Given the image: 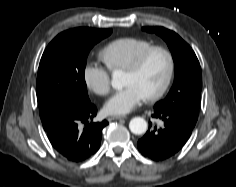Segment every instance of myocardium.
<instances>
[{
    "label": "myocardium",
    "instance_id": "1",
    "mask_svg": "<svg viewBox=\"0 0 236 187\" xmlns=\"http://www.w3.org/2000/svg\"><path fill=\"white\" fill-rule=\"evenodd\" d=\"M156 52H160L162 54L165 55L166 59H167V74L165 77V80L163 82V84L161 85V87L155 91L154 93L147 95L144 97L145 101L147 102H153L156 101L158 99H160L169 89L173 77H174V73H175V59L174 56L172 54V52L162 46H152L150 48H148L147 50L143 51L142 53H140L131 63V65L125 70L126 72H129L131 74H136L138 73L143 65L145 64L146 60L153 54Z\"/></svg>",
    "mask_w": 236,
    "mask_h": 187
}]
</instances>
